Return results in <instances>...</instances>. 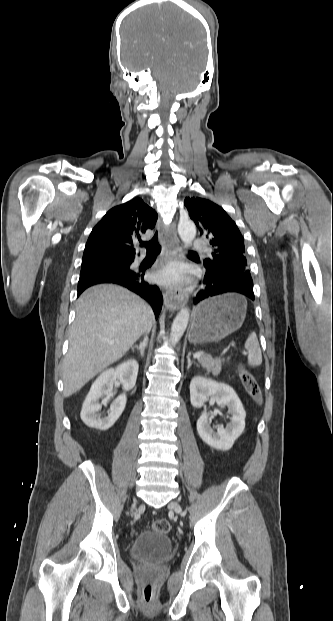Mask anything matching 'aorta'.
I'll return each instance as SVG.
<instances>
[{"instance_id":"762f6f07","label":"aorta","mask_w":333,"mask_h":621,"mask_svg":"<svg viewBox=\"0 0 333 621\" xmlns=\"http://www.w3.org/2000/svg\"><path fill=\"white\" fill-rule=\"evenodd\" d=\"M178 233L184 244L189 245L192 243L196 236V226L192 221L188 219L181 220L178 224ZM189 316V309L185 307L178 312L175 319L173 320L170 334V343L172 345L177 344L183 336L188 325Z\"/></svg>"}]
</instances>
